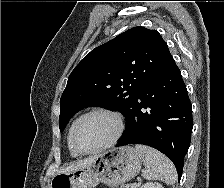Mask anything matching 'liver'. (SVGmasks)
Returning <instances> with one entry per match:
<instances>
[{
    "instance_id": "6515ba94",
    "label": "liver",
    "mask_w": 224,
    "mask_h": 188,
    "mask_svg": "<svg viewBox=\"0 0 224 188\" xmlns=\"http://www.w3.org/2000/svg\"><path fill=\"white\" fill-rule=\"evenodd\" d=\"M97 157H98V155H94V156L88 157L86 159L76 161V162L70 164L69 166L61 168L59 173L69 172V171H73V170H77L82 167H85V166L93 163Z\"/></svg>"
}]
</instances>
